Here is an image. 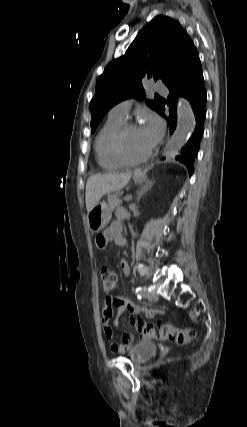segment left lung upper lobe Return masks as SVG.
Returning a JSON list of instances; mask_svg holds the SVG:
<instances>
[{
    "label": "left lung upper lobe",
    "instance_id": "1",
    "mask_svg": "<svg viewBox=\"0 0 247 427\" xmlns=\"http://www.w3.org/2000/svg\"><path fill=\"white\" fill-rule=\"evenodd\" d=\"M198 56L196 47L178 21L163 15L152 19L138 33L125 55L109 63L98 78L90 103L91 131L118 102L130 97L143 99L144 79H160L167 86ZM146 103L157 112L162 107L157 101L147 100Z\"/></svg>",
    "mask_w": 247,
    "mask_h": 427
}]
</instances>
